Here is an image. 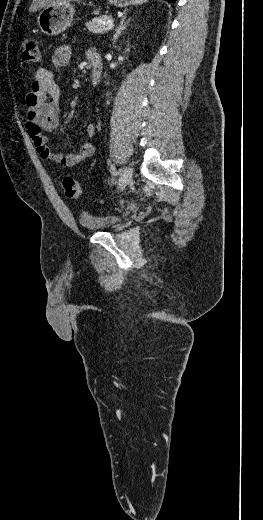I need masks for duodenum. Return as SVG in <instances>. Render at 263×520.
<instances>
[{
	"instance_id": "410a0bca",
	"label": "duodenum",
	"mask_w": 263,
	"mask_h": 520,
	"mask_svg": "<svg viewBox=\"0 0 263 520\" xmlns=\"http://www.w3.org/2000/svg\"><path fill=\"white\" fill-rule=\"evenodd\" d=\"M88 56L91 63V83L93 86H97L102 76V59L100 54L96 51H91Z\"/></svg>"
}]
</instances>
